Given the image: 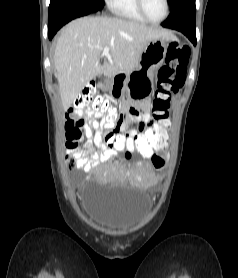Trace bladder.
Masks as SVG:
<instances>
[{"mask_svg": "<svg viewBox=\"0 0 238 278\" xmlns=\"http://www.w3.org/2000/svg\"><path fill=\"white\" fill-rule=\"evenodd\" d=\"M85 210L92 224L114 234H127L146 220L151 201L140 186H96L89 181L84 194Z\"/></svg>", "mask_w": 238, "mask_h": 278, "instance_id": "bladder-1", "label": "bladder"}]
</instances>
